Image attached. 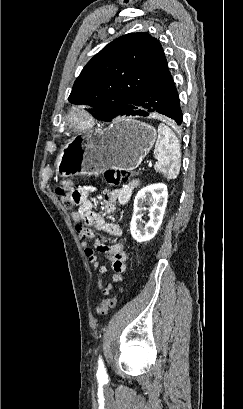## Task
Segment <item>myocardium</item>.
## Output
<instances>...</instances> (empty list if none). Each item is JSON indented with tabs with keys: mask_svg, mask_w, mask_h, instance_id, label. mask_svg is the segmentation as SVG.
Segmentation results:
<instances>
[{
	"mask_svg": "<svg viewBox=\"0 0 243 409\" xmlns=\"http://www.w3.org/2000/svg\"><path fill=\"white\" fill-rule=\"evenodd\" d=\"M97 119L86 104L72 105L62 116L61 127L70 133H80L92 129Z\"/></svg>",
	"mask_w": 243,
	"mask_h": 409,
	"instance_id": "myocardium-1",
	"label": "myocardium"
}]
</instances>
